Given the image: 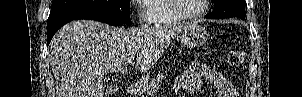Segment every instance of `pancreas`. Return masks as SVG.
Here are the masks:
<instances>
[{
  "instance_id": "obj_1",
  "label": "pancreas",
  "mask_w": 302,
  "mask_h": 97,
  "mask_svg": "<svg viewBox=\"0 0 302 97\" xmlns=\"http://www.w3.org/2000/svg\"><path fill=\"white\" fill-rule=\"evenodd\" d=\"M163 79H164V74L159 73L157 75V78L152 79L151 83L146 87V89H144V93H146L147 95H152L153 93H155L159 89Z\"/></svg>"
}]
</instances>
